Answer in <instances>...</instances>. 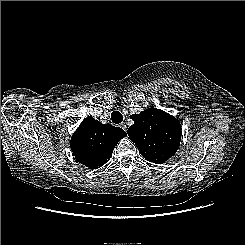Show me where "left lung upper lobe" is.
I'll return each instance as SVG.
<instances>
[{
	"label": "left lung upper lobe",
	"instance_id": "5c2ea615",
	"mask_svg": "<svg viewBox=\"0 0 245 245\" xmlns=\"http://www.w3.org/2000/svg\"><path fill=\"white\" fill-rule=\"evenodd\" d=\"M130 117L134 124L128 128V136L145 160L162 164L175 154L181 140V125L176 118L155 108Z\"/></svg>",
	"mask_w": 245,
	"mask_h": 245
}]
</instances>
